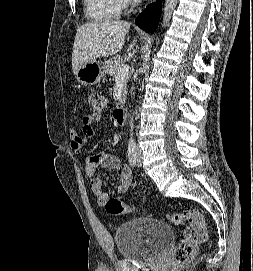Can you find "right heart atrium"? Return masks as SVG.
<instances>
[{"label":"right heart atrium","instance_id":"1","mask_svg":"<svg viewBox=\"0 0 253 271\" xmlns=\"http://www.w3.org/2000/svg\"><path fill=\"white\" fill-rule=\"evenodd\" d=\"M117 1L121 5L122 9L126 8L127 6H129L133 2V0H117Z\"/></svg>","mask_w":253,"mask_h":271}]
</instances>
